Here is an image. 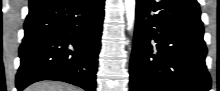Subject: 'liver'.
<instances>
[{
    "instance_id": "obj_1",
    "label": "liver",
    "mask_w": 220,
    "mask_h": 91,
    "mask_svg": "<svg viewBox=\"0 0 220 91\" xmlns=\"http://www.w3.org/2000/svg\"><path fill=\"white\" fill-rule=\"evenodd\" d=\"M25 91H80L78 88L61 83V82H52V81H45V82H38L32 84Z\"/></svg>"
}]
</instances>
